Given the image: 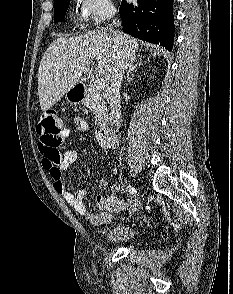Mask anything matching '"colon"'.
<instances>
[{
    "mask_svg": "<svg viewBox=\"0 0 233 294\" xmlns=\"http://www.w3.org/2000/svg\"><path fill=\"white\" fill-rule=\"evenodd\" d=\"M63 123L55 110L49 109L42 113L37 124L36 131L39 136V144L44 155L59 156L58 147L62 141ZM105 206L110 210H118L123 207L118 200H107Z\"/></svg>",
    "mask_w": 233,
    "mask_h": 294,
    "instance_id": "5ec220e1",
    "label": "colon"
}]
</instances>
